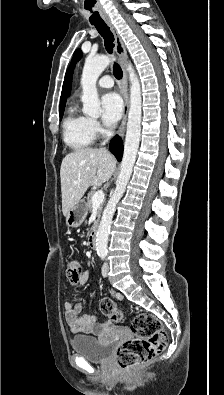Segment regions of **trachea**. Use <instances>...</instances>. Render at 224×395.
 Listing matches in <instances>:
<instances>
[{"label":"trachea","mask_w":224,"mask_h":395,"mask_svg":"<svg viewBox=\"0 0 224 395\" xmlns=\"http://www.w3.org/2000/svg\"><path fill=\"white\" fill-rule=\"evenodd\" d=\"M92 25L96 27L99 34L103 37L105 48L107 52L111 54L114 47V36L109 26L104 21L94 22ZM113 73L118 80L121 79L123 73L121 67L117 63H114Z\"/></svg>","instance_id":"1"}]
</instances>
